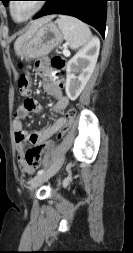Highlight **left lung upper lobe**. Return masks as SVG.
Listing matches in <instances>:
<instances>
[{
    "label": "left lung upper lobe",
    "mask_w": 133,
    "mask_h": 253,
    "mask_svg": "<svg viewBox=\"0 0 133 253\" xmlns=\"http://www.w3.org/2000/svg\"><path fill=\"white\" fill-rule=\"evenodd\" d=\"M3 2V4L6 6L10 0H0Z\"/></svg>",
    "instance_id": "5c2ea615"
}]
</instances>
